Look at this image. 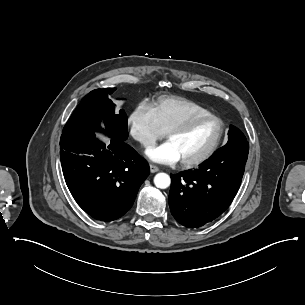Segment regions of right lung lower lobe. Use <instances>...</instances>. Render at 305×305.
<instances>
[{
	"mask_svg": "<svg viewBox=\"0 0 305 305\" xmlns=\"http://www.w3.org/2000/svg\"><path fill=\"white\" fill-rule=\"evenodd\" d=\"M124 141L111 137L106 147L94 133L61 136L66 184L79 206L97 220L122 217L150 173L146 161Z\"/></svg>",
	"mask_w": 305,
	"mask_h": 305,
	"instance_id": "right-lung-lower-lobe-1",
	"label": "right lung lower lobe"
}]
</instances>
